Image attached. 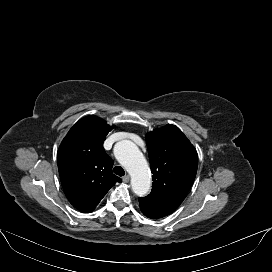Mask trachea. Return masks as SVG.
Segmentation results:
<instances>
[{
    "instance_id": "1",
    "label": "trachea",
    "mask_w": 272,
    "mask_h": 272,
    "mask_svg": "<svg viewBox=\"0 0 272 272\" xmlns=\"http://www.w3.org/2000/svg\"><path fill=\"white\" fill-rule=\"evenodd\" d=\"M113 171H114V173L116 175H119V176H124L125 175V171L121 166L114 167Z\"/></svg>"
}]
</instances>
